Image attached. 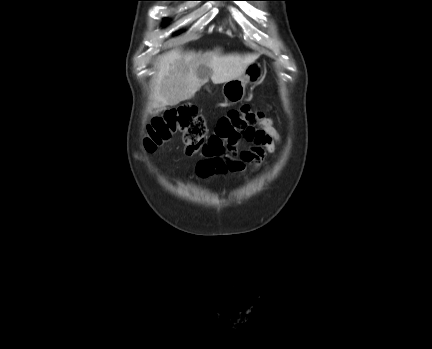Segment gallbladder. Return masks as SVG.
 <instances>
[{
  "instance_id": "1",
  "label": "gallbladder",
  "mask_w": 432,
  "mask_h": 349,
  "mask_svg": "<svg viewBox=\"0 0 432 349\" xmlns=\"http://www.w3.org/2000/svg\"><path fill=\"white\" fill-rule=\"evenodd\" d=\"M206 71H208V69H206ZM164 109H165V107L158 108V109H157V112H161V111H163Z\"/></svg>"
}]
</instances>
